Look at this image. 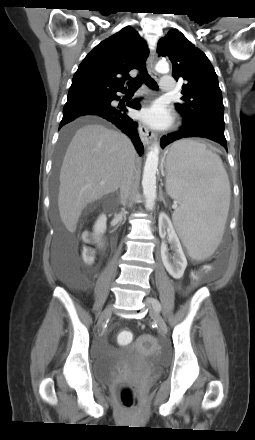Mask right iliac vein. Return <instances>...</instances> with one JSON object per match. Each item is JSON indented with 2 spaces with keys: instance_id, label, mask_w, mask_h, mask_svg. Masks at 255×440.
<instances>
[{
  "instance_id": "obj_1",
  "label": "right iliac vein",
  "mask_w": 255,
  "mask_h": 440,
  "mask_svg": "<svg viewBox=\"0 0 255 440\" xmlns=\"http://www.w3.org/2000/svg\"><path fill=\"white\" fill-rule=\"evenodd\" d=\"M112 310H113L112 305H109V306H107V307L104 309V311H103V313H102V315H101V317H100V319H99V322H98V326H99V327L104 323V321H105L106 319H108V318L111 316V314H112Z\"/></svg>"
}]
</instances>
